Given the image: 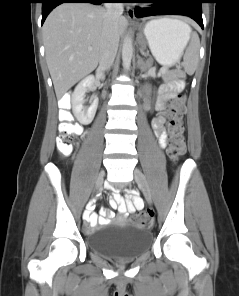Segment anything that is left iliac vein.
<instances>
[{
	"mask_svg": "<svg viewBox=\"0 0 239 296\" xmlns=\"http://www.w3.org/2000/svg\"><path fill=\"white\" fill-rule=\"evenodd\" d=\"M133 176H134L136 183L138 184V186L142 190L147 203L152 204V197H151L149 185H148L145 175L139 169H135Z\"/></svg>",
	"mask_w": 239,
	"mask_h": 296,
	"instance_id": "1",
	"label": "left iliac vein"
}]
</instances>
